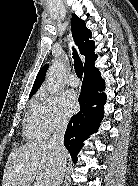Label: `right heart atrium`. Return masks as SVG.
<instances>
[{
    "label": "right heart atrium",
    "instance_id": "right-heart-atrium-1",
    "mask_svg": "<svg viewBox=\"0 0 138 186\" xmlns=\"http://www.w3.org/2000/svg\"><path fill=\"white\" fill-rule=\"evenodd\" d=\"M42 100L40 118L47 135L63 130L68 120L61 109L60 97L54 94L43 93Z\"/></svg>",
    "mask_w": 138,
    "mask_h": 186
}]
</instances>
